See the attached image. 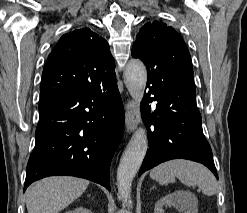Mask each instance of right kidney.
Returning a JSON list of instances; mask_svg holds the SVG:
<instances>
[{
  "label": "right kidney",
  "mask_w": 247,
  "mask_h": 213,
  "mask_svg": "<svg viewBox=\"0 0 247 213\" xmlns=\"http://www.w3.org/2000/svg\"><path fill=\"white\" fill-rule=\"evenodd\" d=\"M65 213H92V211L87 209V208H84L83 206H80V207H77L73 210H69Z\"/></svg>",
  "instance_id": "1"
}]
</instances>
